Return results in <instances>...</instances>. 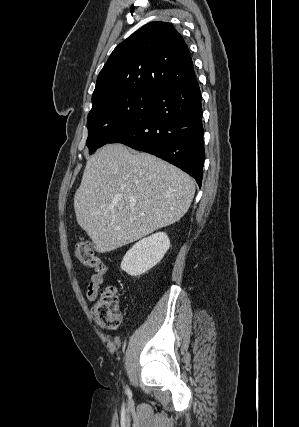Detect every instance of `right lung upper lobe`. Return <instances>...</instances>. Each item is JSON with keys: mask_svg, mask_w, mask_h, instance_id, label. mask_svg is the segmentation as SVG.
Segmentation results:
<instances>
[{"mask_svg": "<svg viewBox=\"0 0 299 427\" xmlns=\"http://www.w3.org/2000/svg\"><path fill=\"white\" fill-rule=\"evenodd\" d=\"M195 79L192 58L171 23L151 22L120 43L99 73L92 104L123 92L155 96Z\"/></svg>", "mask_w": 299, "mask_h": 427, "instance_id": "right-lung-upper-lobe-1", "label": "right lung upper lobe"}]
</instances>
